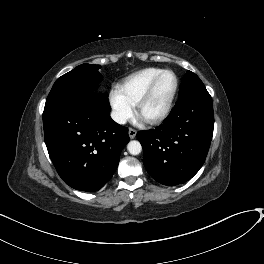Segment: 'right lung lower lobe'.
Instances as JSON below:
<instances>
[{"mask_svg": "<svg viewBox=\"0 0 264 264\" xmlns=\"http://www.w3.org/2000/svg\"><path fill=\"white\" fill-rule=\"evenodd\" d=\"M108 95L87 91L44 109V140L59 176L70 187L101 189L117 169L129 142L128 128L109 116Z\"/></svg>", "mask_w": 264, "mask_h": 264, "instance_id": "obj_1", "label": "right lung lower lobe"}]
</instances>
